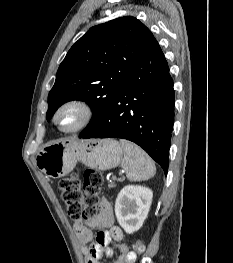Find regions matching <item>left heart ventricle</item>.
Returning <instances> with one entry per match:
<instances>
[{
  "label": "left heart ventricle",
  "mask_w": 233,
  "mask_h": 263,
  "mask_svg": "<svg viewBox=\"0 0 233 263\" xmlns=\"http://www.w3.org/2000/svg\"><path fill=\"white\" fill-rule=\"evenodd\" d=\"M81 119V114L76 109L64 110L58 117V122L61 128L70 129L74 127Z\"/></svg>",
  "instance_id": "1"
}]
</instances>
